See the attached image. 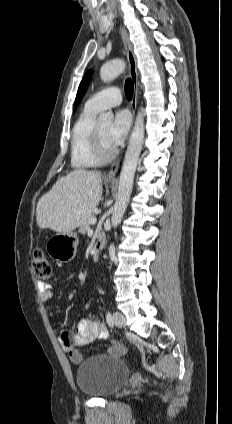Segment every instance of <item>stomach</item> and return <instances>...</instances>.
I'll return each instance as SVG.
<instances>
[{"label":"stomach","instance_id":"obj_1","mask_svg":"<svg viewBox=\"0 0 232 424\" xmlns=\"http://www.w3.org/2000/svg\"><path fill=\"white\" fill-rule=\"evenodd\" d=\"M107 183L110 181L106 180ZM78 245L75 232L57 233L48 239L46 251L56 261L67 262L73 259Z\"/></svg>","mask_w":232,"mask_h":424}]
</instances>
